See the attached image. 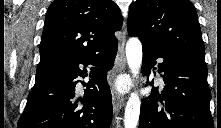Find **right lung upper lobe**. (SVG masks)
<instances>
[{
    "instance_id": "obj_1",
    "label": "right lung upper lobe",
    "mask_w": 221,
    "mask_h": 128,
    "mask_svg": "<svg viewBox=\"0 0 221 128\" xmlns=\"http://www.w3.org/2000/svg\"><path fill=\"white\" fill-rule=\"evenodd\" d=\"M123 17L112 0H54L48 8L37 71L116 42Z\"/></svg>"
}]
</instances>
